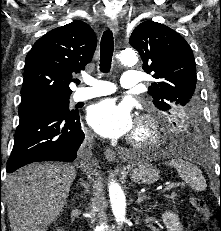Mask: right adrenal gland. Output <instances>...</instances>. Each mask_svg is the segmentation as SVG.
Here are the masks:
<instances>
[{"label":"right adrenal gland","instance_id":"obj_1","mask_svg":"<svg viewBox=\"0 0 221 231\" xmlns=\"http://www.w3.org/2000/svg\"><path fill=\"white\" fill-rule=\"evenodd\" d=\"M80 184L83 185L87 189V186L84 183H80ZM85 192H87V190ZM80 197H83V195L81 194Z\"/></svg>","mask_w":221,"mask_h":231}]
</instances>
